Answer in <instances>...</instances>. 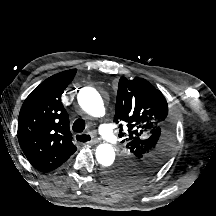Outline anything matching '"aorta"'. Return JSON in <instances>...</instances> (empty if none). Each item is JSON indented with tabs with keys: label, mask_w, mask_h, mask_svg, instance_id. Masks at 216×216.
<instances>
[{
	"label": "aorta",
	"mask_w": 216,
	"mask_h": 216,
	"mask_svg": "<svg viewBox=\"0 0 216 216\" xmlns=\"http://www.w3.org/2000/svg\"><path fill=\"white\" fill-rule=\"evenodd\" d=\"M80 107L93 117H101L105 113L104 103L100 94L91 87L80 90L77 96ZM96 159L103 167H109L115 160V151L108 143L98 145L96 148Z\"/></svg>",
	"instance_id": "762f6f07"
}]
</instances>
